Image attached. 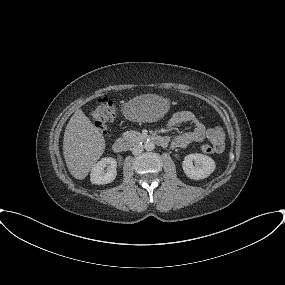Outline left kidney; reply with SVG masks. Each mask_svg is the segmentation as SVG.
<instances>
[{
    "label": "left kidney",
    "mask_w": 285,
    "mask_h": 285,
    "mask_svg": "<svg viewBox=\"0 0 285 285\" xmlns=\"http://www.w3.org/2000/svg\"><path fill=\"white\" fill-rule=\"evenodd\" d=\"M193 161L195 165H193ZM214 160L203 154L195 153L184 157L182 168L187 177L194 180L207 178L215 170Z\"/></svg>",
    "instance_id": "1"
}]
</instances>
